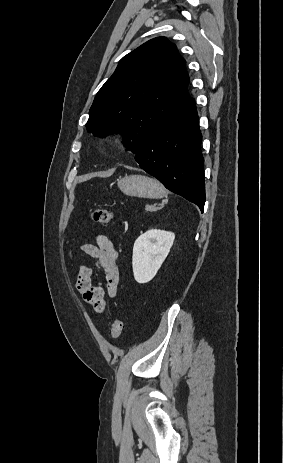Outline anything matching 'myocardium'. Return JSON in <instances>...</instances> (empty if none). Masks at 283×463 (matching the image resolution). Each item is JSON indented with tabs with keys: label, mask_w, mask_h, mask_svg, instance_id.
Returning <instances> with one entry per match:
<instances>
[{
	"label": "myocardium",
	"mask_w": 283,
	"mask_h": 463,
	"mask_svg": "<svg viewBox=\"0 0 283 463\" xmlns=\"http://www.w3.org/2000/svg\"><path fill=\"white\" fill-rule=\"evenodd\" d=\"M124 141V136L119 132H113L104 140V151L109 152L118 148Z\"/></svg>",
	"instance_id": "f54148a6"
}]
</instances>
